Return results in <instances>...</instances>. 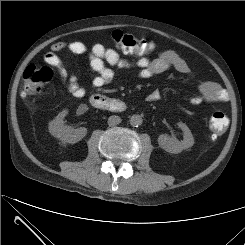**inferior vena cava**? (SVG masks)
Wrapping results in <instances>:
<instances>
[{
    "instance_id": "602c4592",
    "label": "inferior vena cava",
    "mask_w": 245,
    "mask_h": 245,
    "mask_svg": "<svg viewBox=\"0 0 245 245\" xmlns=\"http://www.w3.org/2000/svg\"><path fill=\"white\" fill-rule=\"evenodd\" d=\"M107 122L109 126H115L121 122V118L117 115H112L108 118Z\"/></svg>"
}]
</instances>
